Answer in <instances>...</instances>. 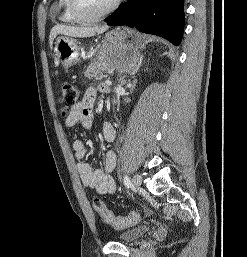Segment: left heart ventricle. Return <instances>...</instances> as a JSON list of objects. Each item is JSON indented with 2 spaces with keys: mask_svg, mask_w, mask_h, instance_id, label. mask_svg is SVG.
Listing matches in <instances>:
<instances>
[{
  "mask_svg": "<svg viewBox=\"0 0 247 257\" xmlns=\"http://www.w3.org/2000/svg\"><path fill=\"white\" fill-rule=\"evenodd\" d=\"M113 1L114 0H79L82 12L89 16L104 11Z\"/></svg>",
  "mask_w": 247,
  "mask_h": 257,
  "instance_id": "obj_1",
  "label": "left heart ventricle"
}]
</instances>
